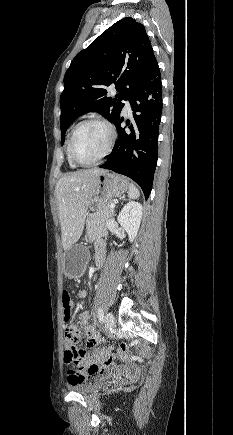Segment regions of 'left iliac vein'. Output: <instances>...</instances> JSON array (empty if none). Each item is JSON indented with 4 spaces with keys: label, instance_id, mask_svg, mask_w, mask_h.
<instances>
[{
    "label": "left iliac vein",
    "instance_id": "left-iliac-vein-1",
    "mask_svg": "<svg viewBox=\"0 0 233 435\" xmlns=\"http://www.w3.org/2000/svg\"><path fill=\"white\" fill-rule=\"evenodd\" d=\"M114 316L112 313H107L104 319L106 331H110L114 327Z\"/></svg>",
    "mask_w": 233,
    "mask_h": 435
}]
</instances>
